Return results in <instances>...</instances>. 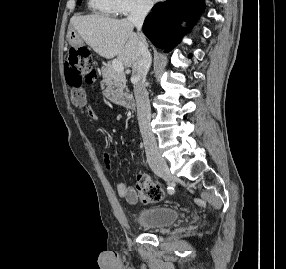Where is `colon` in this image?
I'll use <instances>...</instances> for the list:
<instances>
[{
	"instance_id": "5ec220e1",
	"label": "colon",
	"mask_w": 286,
	"mask_h": 269,
	"mask_svg": "<svg viewBox=\"0 0 286 269\" xmlns=\"http://www.w3.org/2000/svg\"><path fill=\"white\" fill-rule=\"evenodd\" d=\"M65 72L68 82L74 89H80L84 85H94L97 81L92 55L86 48L68 50ZM136 191L144 202H158L163 198V191L154 185L147 175L138 177Z\"/></svg>"
}]
</instances>
